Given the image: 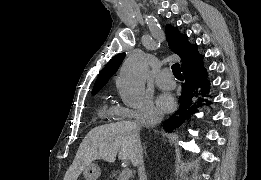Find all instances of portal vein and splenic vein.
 Wrapping results in <instances>:
<instances>
[{"label": "portal vein and splenic vein", "mask_w": 261, "mask_h": 180, "mask_svg": "<svg viewBox=\"0 0 261 180\" xmlns=\"http://www.w3.org/2000/svg\"><path fill=\"white\" fill-rule=\"evenodd\" d=\"M131 176H132V170H130V168H124L121 174H119L118 180H129Z\"/></svg>", "instance_id": "18ae733b"}]
</instances>
